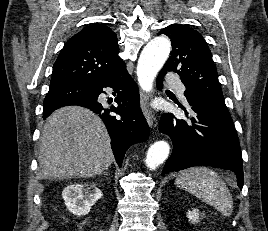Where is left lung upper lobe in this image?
Segmentation results:
<instances>
[{"mask_svg": "<svg viewBox=\"0 0 268 231\" xmlns=\"http://www.w3.org/2000/svg\"><path fill=\"white\" fill-rule=\"evenodd\" d=\"M159 34L171 39L172 51L163 73L175 71L186 87L185 96L200 101L232 119L225 105L210 49L202 35L180 24L163 28Z\"/></svg>", "mask_w": 268, "mask_h": 231, "instance_id": "left-lung-upper-lobe-1", "label": "left lung upper lobe"}]
</instances>
